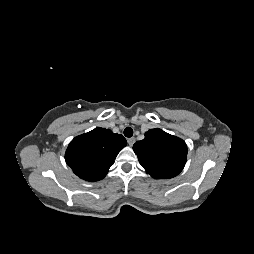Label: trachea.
<instances>
[{"label": "trachea", "mask_w": 254, "mask_h": 254, "mask_svg": "<svg viewBox=\"0 0 254 254\" xmlns=\"http://www.w3.org/2000/svg\"><path fill=\"white\" fill-rule=\"evenodd\" d=\"M124 135L126 137H132L133 129L131 127H126L125 130H124Z\"/></svg>", "instance_id": "3493384b"}]
</instances>
